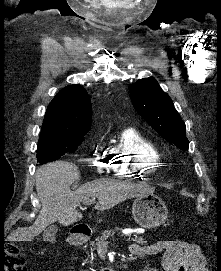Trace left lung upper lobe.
I'll use <instances>...</instances> for the list:
<instances>
[{
  "mask_svg": "<svg viewBox=\"0 0 221 271\" xmlns=\"http://www.w3.org/2000/svg\"><path fill=\"white\" fill-rule=\"evenodd\" d=\"M130 96L136 111L166 140L187 150L186 127L171 98L153 77L130 85Z\"/></svg>",
  "mask_w": 221,
  "mask_h": 271,
  "instance_id": "obj_1",
  "label": "left lung upper lobe"
}]
</instances>
